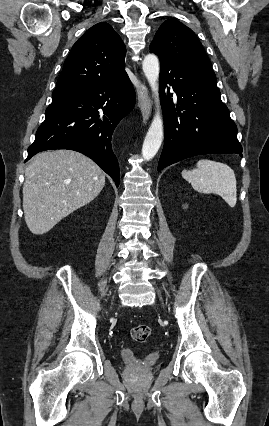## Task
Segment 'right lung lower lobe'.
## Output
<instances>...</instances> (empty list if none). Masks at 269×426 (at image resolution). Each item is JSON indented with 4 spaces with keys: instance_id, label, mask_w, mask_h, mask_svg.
<instances>
[{
    "instance_id": "1",
    "label": "right lung lower lobe",
    "mask_w": 269,
    "mask_h": 426,
    "mask_svg": "<svg viewBox=\"0 0 269 426\" xmlns=\"http://www.w3.org/2000/svg\"><path fill=\"white\" fill-rule=\"evenodd\" d=\"M135 102L127 74L109 83L69 92L46 109L45 121L28 148L26 161L44 150H75L94 160L118 187L119 164L112 150V135Z\"/></svg>"
}]
</instances>
